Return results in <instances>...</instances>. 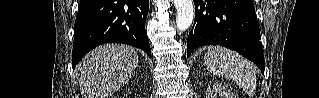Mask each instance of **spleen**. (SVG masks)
<instances>
[{"mask_svg": "<svg viewBox=\"0 0 319 98\" xmlns=\"http://www.w3.org/2000/svg\"><path fill=\"white\" fill-rule=\"evenodd\" d=\"M204 62L212 74L235 81L250 96L255 93L256 70L236 52L222 47H211L204 56Z\"/></svg>", "mask_w": 319, "mask_h": 98, "instance_id": "3e777b00", "label": "spleen"}]
</instances>
